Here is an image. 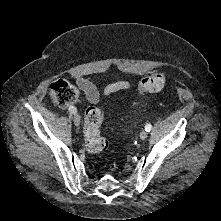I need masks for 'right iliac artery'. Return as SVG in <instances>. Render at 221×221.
<instances>
[{
	"label": "right iliac artery",
	"instance_id": "right-iliac-artery-1",
	"mask_svg": "<svg viewBox=\"0 0 221 221\" xmlns=\"http://www.w3.org/2000/svg\"><path fill=\"white\" fill-rule=\"evenodd\" d=\"M69 111H70L72 114H74V113L77 112V109H76L74 106H70V107H69Z\"/></svg>",
	"mask_w": 221,
	"mask_h": 221
}]
</instances>
